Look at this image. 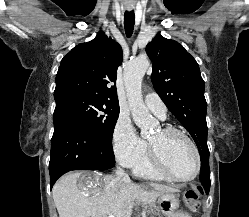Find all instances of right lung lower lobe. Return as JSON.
<instances>
[{
  "label": "right lung lower lobe",
  "mask_w": 249,
  "mask_h": 217,
  "mask_svg": "<svg viewBox=\"0 0 249 217\" xmlns=\"http://www.w3.org/2000/svg\"><path fill=\"white\" fill-rule=\"evenodd\" d=\"M49 163L50 187L71 170H106L114 167L111 142H105L72 117L54 114Z\"/></svg>",
  "instance_id": "obj_1"
}]
</instances>
